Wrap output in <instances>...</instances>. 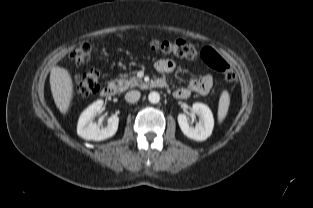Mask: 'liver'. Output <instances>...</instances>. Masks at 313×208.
Here are the masks:
<instances>
[{"mask_svg":"<svg viewBox=\"0 0 313 208\" xmlns=\"http://www.w3.org/2000/svg\"><path fill=\"white\" fill-rule=\"evenodd\" d=\"M50 86L54 102L59 111L65 114L73 98V82L69 72L55 66L50 72Z\"/></svg>","mask_w":313,"mask_h":208,"instance_id":"6515ba94","label":"liver"}]
</instances>
